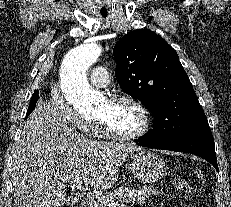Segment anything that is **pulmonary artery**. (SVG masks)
<instances>
[{"mask_svg":"<svg viewBox=\"0 0 231 207\" xmlns=\"http://www.w3.org/2000/svg\"><path fill=\"white\" fill-rule=\"evenodd\" d=\"M89 79L95 87L102 88L109 83L110 76L107 68L99 65L92 69Z\"/></svg>","mask_w":231,"mask_h":207,"instance_id":"e3ab8cb5","label":"pulmonary artery"}]
</instances>
